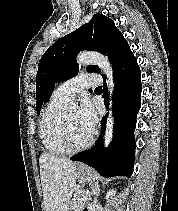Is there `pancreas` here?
Here are the masks:
<instances>
[{
  "label": "pancreas",
  "mask_w": 178,
  "mask_h": 211,
  "mask_svg": "<svg viewBox=\"0 0 178 211\" xmlns=\"http://www.w3.org/2000/svg\"><path fill=\"white\" fill-rule=\"evenodd\" d=\"M87 196L88 194L86 193L76 192L70 201L68 211H81L82 207L84 206V201H79V199L85 198Z\"/></svg>",
  "instance_id": "pancreas-1"
}]
</instances>
